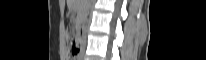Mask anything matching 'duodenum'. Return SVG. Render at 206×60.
<instances>
[{
  "label": "duodenum",
  "mask_w": 206,
  "mask_h": 60,
  "mask_svg": "<svg viewBox=\"0 0 206 60\" xmlns=\"http://www.w3.org/2000/svg\"><path fill=\"white\" fill-rule=\"evenodd\" d=\"M79 34H80L81 38H83L84 35H85L84 29H83V27L81 25L79 26Z\"/></svg>",
  "instance_id": "410a0bca"
}]
</instances>
